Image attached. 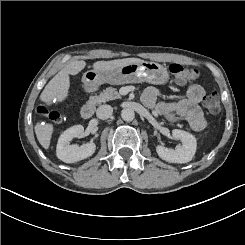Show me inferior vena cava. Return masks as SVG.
<instances>
[{"label": "inferior vena cava", "instance_id": "obj_1", "mask_svg": "<svg viewBox=\"0 0 245 245\" xmlns=\"http://www.w3.org/2000/svg\"><path fill=\"white\" fill-rule=\"evenodd\" d=\"M112 113H113V108L110 105H106V104L101 105L96 110V116L100 120H106V119L110 118Z\"/></svg>", "mask_w": 245, "mask_h": 245}]
</instances>
